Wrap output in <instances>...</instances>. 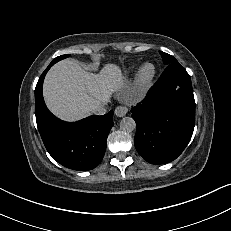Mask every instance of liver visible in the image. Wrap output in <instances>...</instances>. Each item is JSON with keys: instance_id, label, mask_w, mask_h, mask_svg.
I'll use <instances>...</instances> for the list:
<instances>
[{"instance_id": "liver-1", "label": "liver", "mask_w": 231, "mask_h": 231, "mask_svg": "<svg viewBox=\"0 0 231 231\" xmlns=\"http://www.w3.org/2000/svg\"><path fill=\"white\" fill-rule=\"evenodd\" d=\"M124 86L119 66L108 63L98 74L83 70L76 61L65 59L47 73L43 96L49 110L65 121L89 116L94 106L105 104Z\"/></svg>"}]
</instances>
